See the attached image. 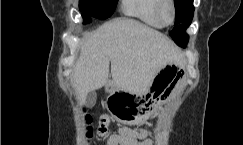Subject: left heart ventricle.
Returning <instances> with one entry per match:
<instances>
[{
  "instance_id": "obj_1",
  "label": "left heart ventricle",
  "mask_w": 243,
  "mask_h": 145,
  "mask_svg": "<svg viewBox=\"0 0 243 145\" xmlns=\"http://www.w3.org/2000/svg\"><path fill=\"white\" fill-rule=\"evenodd\" d=\"M165 15H166V18L168 19V20H170V18H171V12H170V10L167 8L166 9V11H165Z\"/></svg>"
}]
</instances>
